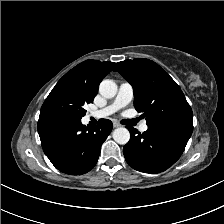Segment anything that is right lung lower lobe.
Returning a JSON list of instances; mask_svg holds the SVG:
<instances>
[{"label":"right lung lower lobe","mask_w":224,"mask_h":224,"mask_svg":"<svg viewBox=\"0 0 224 224\" xmlns=\"http://www.w3.org/2000/svg\"><path fill=\"white\" fill-rule=\"evenodd\" d=\"M112 127L108 119L89 128L81 119L50 111L40 112L38 120L44 153L59 171L71 175L84 174L95 166Z\"/></svg>","instance_id":"right-lung-lower-lobe-1"}]
</instances>
